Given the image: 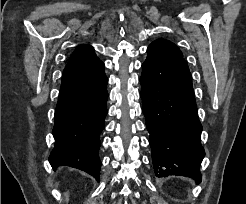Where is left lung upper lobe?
Wrapping results in <instances>:
<instances>
[{
	"label": "left lung upper lobe",
	"instance_id": "left-lung-upper-lobe-1",
	"mask_svg": "<svg viewBox=\"0 0 246 204\" xmlns=\"http://www.w3.org/2000/svg\"><path fill=\"white\" fill-rule=\"evenodd\" d=\"M150 45H158V46H161L163 48H166L180 56H182V53L181 51L178 49V47L173 44L172 42L168 41V40H165V39H158L154 42H152Z\"/></svg>",
	"mask_w": 246,
	"mask_h": 204
}]
</instances>
